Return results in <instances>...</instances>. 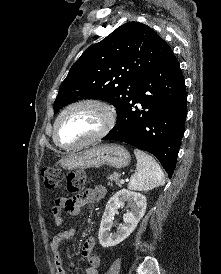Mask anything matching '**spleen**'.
Instances as JSON below:
<instances>
[{"instance_id": "obj_1", "label": "spleen", "mask_w": 221, "mask_h": 274, "mask_svg": "<svg viewBox=\"0 0 221 274\" xmlns=\"http://www.w3.org/2000/svg\"><path fill=\"white\" fill-rule=\"evenodd\" d=\"M136 172L131 176L128 188L135 191H149L165 184L164 173L159 164L149 154L135 149Z\"/></svg>"}]
</instances>
